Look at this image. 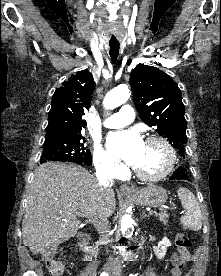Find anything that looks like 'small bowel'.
I'll return each mask as SVG.
<instances>
[{"mask_svg": "<svg viewBox=\"0 0 221 276\" xmlns=\"http://www.w3.org/2000/svg\"><path fill=\"white\" fill-rule=\"evenodd\" d=\"M191 260V255L187 250L178 249L171 257L173 268L171 270L172 276H183V266L186 262Z\"/></svg>", "mask_w": 221, "mask_h": 276, "instance_id": "obj_1", "label": "small bowel"}]
</instances>
